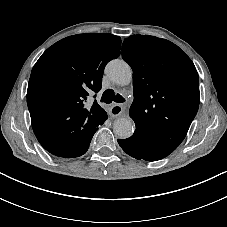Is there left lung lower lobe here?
<instances>
[{"label":"left lung lower lobe","mask_w":227,"mask_h":227,"mask_svg":"<svg viewBox=\"0 0 227 227\" xmlns=\"http://www.w3.org/2000/svg\"><path fill=\"white\" fill-rule=\"evenodd\" d=\"M121 148L136 159L156 161L168 156L171 151L158 145L146 135L135 132L127 139H118Z\"/></svg>","instance_id":"1"}]
</instances>
